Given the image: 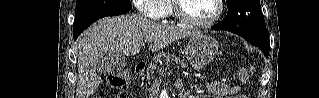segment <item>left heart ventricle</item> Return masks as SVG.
Instances as JSON below:
<instances>
[{
    "label": "left heart ventricle",
    "mask_w": 319,
    "mask_h": 98,
    "mask_svg": "<svg viewBox=\"0 0 319 98\" xmlns=\"http://www.w3.org/2000/svg\"><path fill=\"white\" fill-rule=\"evenodd\" d=\"M215 0H183L181 10L183 14L193 20L204 21L216 12Z\"/></svg>",
    "instance_id": "1"
}]
</instances>
